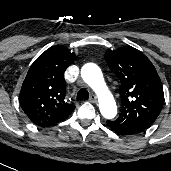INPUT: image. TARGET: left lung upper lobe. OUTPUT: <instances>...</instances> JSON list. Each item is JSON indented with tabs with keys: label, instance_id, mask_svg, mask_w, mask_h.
<instances>
[{
	"label": "left lung upper lobe",
	"instance_id": "5c2ea615",
	"mask_svg": "<svg viewBox=\"0 0 171 171\" xmlns=\"http://www.w3.org/2000/svg\"><path fill=\"white\" fill-rule=\"evenodd\" d=\"M105 58L110 69L121 80L122 111L113 124L153 123L164 104V94L152 63L133 47L108 51Z\"/></svg>",
	"mask_w": 171,
	"mask_h": 171
}]
</instances>
